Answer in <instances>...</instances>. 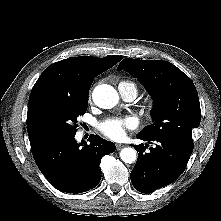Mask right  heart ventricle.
Wrapping results in <instances>:
<instances>
[{
	"instance_id": "right-heart-ventricle-1",
	"label": "right heart ventricle",
	"mask_w": 221,
	"mask_h": 221,
	"mask_svg": "<svg viewBox=\"0 0 221 221\" xmlns=\"http://www.w3.org/2000/svg\"><path fill=\"white\" fill-rule=\"evenodd\" d=\"M119 86H122V87H124V88H133V89L137 92V88H136L135 83H133V82H131V81H128V80H126V81H121V82L119 83Z\"/></svg>"
}]
</instances>
